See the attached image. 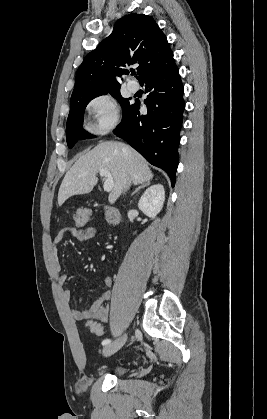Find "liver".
<instances>
[{"label": "liver", "instance_id": "1", "mask_svg": "<svg viewBox=\"0 0 267 419\" xmlns=\"http://www.w3.org/2000/svg\"><path fill=\"white\" fill-rule=\"evenodd\" d=\"M106 168L114 179L109 202L114 203L121 195L125 182L134 185L149 182L153 178L146 160L133 148L121 142H103L81 156L65 174L58 192L61 206L74 195L87 194L98 182L96 174Z\"/></svg>", "mask_w": 267, "mask_h": 419}]
</instances>
